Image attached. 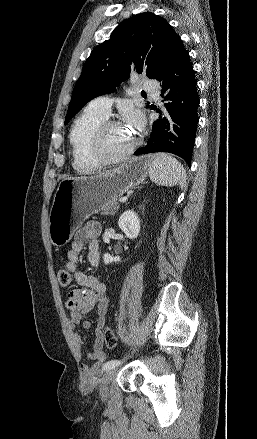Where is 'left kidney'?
Wrapping results in <instances>:
<instances>
[{
    "label": "left kidney",
    "mask_w": 257,
    "mask_h": 439,
    "mask_svg": "<svg viewBox=\"0 0 257 439\" xmlns=\"http://www.w3.org/2000/svg\"><path fill=\"white\" fill-rule=\"evenodd\" d=\"M118 226L129 239L137 238L140 232V220L138 215L132 210L125 211L118 220ZM120 260L119 256L113 257L108 253H105L103 256L105 264L119 262Z\"/></svg>",
    "instance_id": "left-kidney-1"
}]
</instances>
